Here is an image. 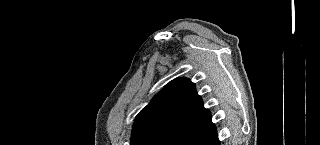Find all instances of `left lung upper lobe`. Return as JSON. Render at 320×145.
<instances>
[{
    "instance_id": "5c2ea615",
    "label": "left lung upper lobe",
    "mask_w": 320,
    "mask_h": 145,
    "mask_svg": "<svg viewBox=\"0 0 320 145\" xmlns=\"http://www.w3.org/2000/svg\"><path fill=\"white\" fill-rule=\"evenodd\" d=\"M210 118L194 83L175 79L136 116L130 145H178Z\"/></svg>"
}]
</instances>
